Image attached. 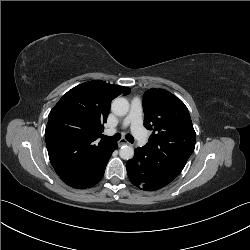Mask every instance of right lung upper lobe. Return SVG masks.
Listing matches in <instances>:
<instances>
[{
  "label": "right lung upper lobe",
  "instance_id": "obj_1",
  "mask_svg": "<svg viewBox=\"0 0 250 250\" xmlns=\"http://www.w3.org/2000/svg\"><path fill=\"white\" fill-rule=\"evenodd\" d=\"M130 88L101 80L80 84L58 101L45 130L49 159L69 186L85 189L96 182L114 143L100 140L112 99Z\"/></svg>",
  "mask_w": 250,
  "mask_h": 250
}]
</instances>
